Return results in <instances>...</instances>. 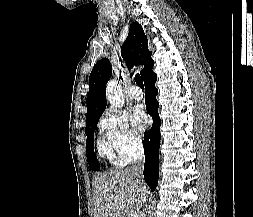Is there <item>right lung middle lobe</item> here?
I'll return each instance as SVG.
<instances>
[{
	"label": "right lung middle lobe",
	"mask_w": 253,
	"mask_h": 217,
	"mask_svg": "<svg viewBox=\"0 0 253 217\" xmlns=\"http://www.w3.org/2000/svg\"><path fill=\"white\" fill-rule=\"evenodd\" d=\"M99 118L100 117L88 121L86 124V129H85V132L87 135L86 155H87L88 164L91 170H97V171L100 169V165L94 153L93 139H94V131L96 129Z\"/></svg>",
	"instance_id": "obj_1"
}]
</instances>
